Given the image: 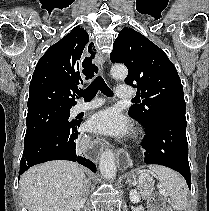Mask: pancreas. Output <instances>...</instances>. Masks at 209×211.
I'll list each match as a JSON object with an SVG mask.
<instances>
[{
    "mask_svg": "<svg viewBox=\"0 0 209 211\" xmlns=\"http://www.w3.org/2000/svg\"><path fill=\"white\" fill-rule=\"evenodd\" d=\"M137 188L142 198H148L154 190V185L152 180L141 179L137 182Z\"/></svg>",
    "mask_w": 209,
    "mask_h": 211,
    "instance_id": "pancreas-1",
    "label": "pancreas"
}]
</instances>
